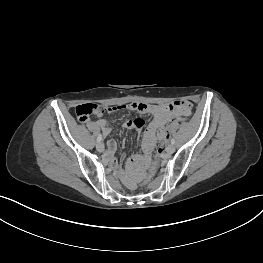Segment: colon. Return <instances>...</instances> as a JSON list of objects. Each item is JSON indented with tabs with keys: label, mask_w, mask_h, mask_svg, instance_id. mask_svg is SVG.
<instances>
[{
	"label": "colon",
	"mask_w": 263,
	"mask_h": 263,
	"mask_svg": "<svg viewBox=\"0 0 263 263\" xmlns=\"http://www.w3.org/2000/svg\"><path fill=\"white\" fill-rule=\"evenodd\" d=\"M175 104H180L182 107L184 105H189L190 107H192V104L189 101H178ZM125 109L128 112H131V111L135 112L138 109L142 114H146L149 111L148 106L144 102H141L138 106L135 103H132V104L128 103L125 106ZM105 110H106V107L100 104H94V103L83 104L76 108V116L80 122H85L91 115L101 114L105 112ZM187 116L188 115H184L181 119L174 117L170 120L169 123L165 124V138L160 144V147L157 149L158 152L153 157L154 158L153 161L151 162L150 166L146 170L147 172L144 177L145 179L143 178L141 180L142 182L139 183L140 187L148 186L150 184L154 170L164 154V149L170 143V140H171L170 134L172 132L171 131L172 126L174 125L175 122L179 124H187L189 122L186 119Z\"/></svg>",
	"instance_id": "5ec220e1"
}]
</instances>
